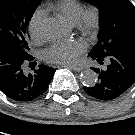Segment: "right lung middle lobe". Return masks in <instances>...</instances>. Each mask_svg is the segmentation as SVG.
Segmentation results:
<instances>
[{
	"instance_id": "obj_1",
	"label": "right lung middle lobe",
	"mask_w": 135,
	"mask_h": 135,
	"mask_svg": "<svg viewBox=\"0 0 135 135\" xmlns=\"http://www.w3.org/2000/svg\"><path fill=\"white\" fill-rule=\"evenodd\" d=\"M42 0H0V46L29 55L28 21Z\"/></svg>"
}]
</instances>
